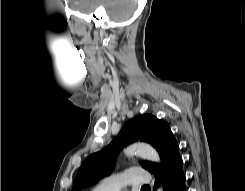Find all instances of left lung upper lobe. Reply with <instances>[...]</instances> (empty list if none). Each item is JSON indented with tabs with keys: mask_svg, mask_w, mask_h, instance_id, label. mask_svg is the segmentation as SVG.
Returning <instances> with one entry per match:
<instances>
[{
	"mask_svg": "<svg viewBox=\"0 0 245 191\" xmlns=\"http://www.w3.org/2000/svg\"><path fill=\"white\" fill-rule=\"evenodd\" d=\"M138 140L150 143L161 157L160 165L148 161L141 163L142 167L152 174L164 166L179 148L173 133L164 121L151 114L137 116L123 126L107 147L87 157L76 175L72 191H78L108 175L114 167L119 151Z\"/></svg>",
	"mask_w": 245,
	"mask_h": 191,
	"instance_id": "left-lung-upper-lobe-1",
	"label": "left lung upper lobe"
}]
</instances>
